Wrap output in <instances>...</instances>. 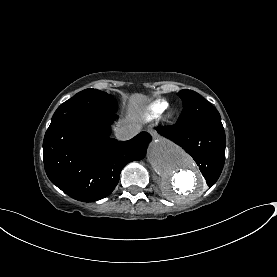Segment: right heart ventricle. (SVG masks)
Wrapping results in <instances>:
<instances>
[{
    "label": "right heart ventricle",
    "mask_w": 277,
    "mask_h": 277,
    "mask_svg": "<svg viewBox=\"0 0 277 277\" xmlns=\"http://www.w3.org/2000/svg\"><path fill=\"white\" fill-rule=\"evenodd\" d=\"M168 106V102L165 100L156 101L149 111L144 115L145 121H150L156 116L160 115Z\"/></svg>",
    "instance_id": "1"
}]
</instances>
